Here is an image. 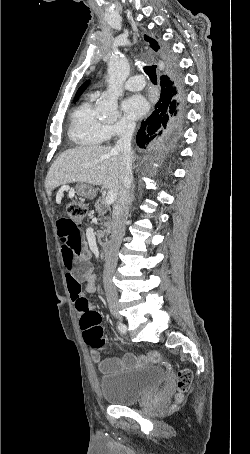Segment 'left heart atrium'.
Listing matches in <instances>:
<instances>
[{"instance_id":"obj_1","label":"left heart atrium","mask_w":250,"mask_h":454,"mask_svg":"<svg viewBox=\"0 0 250 454\" xmlns=\"http://www.w3.org/2000/svg\"><path fill=\"white\" fill-rule=\"evenodd\" d=\"M148 103L146 99L135 94L127 97L121 104V109L124 116L129 120H137L148 111Z\"/></svg>"}]
</instances>
